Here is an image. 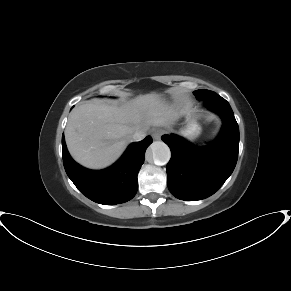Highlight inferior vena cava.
Returning <instances> with one entry per match:
<instances>
[{
	"mask_svg": "<svg viewBox=\"0 0 291 291\" xmlns=\"http://www.w3.org/2000/svg\"><path fill=\"white\" fill-rule=\"evenodd\" d=\"M146 137V132L143 130H138L133 133L132 140L133 141H141Z\"/></svg>",
	"mask_w": 291,
	"mask_h": 291,
	"instance_id": "obj_1",
	"label": "inferior vena cava"
}]
</instances>
